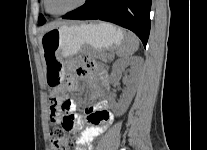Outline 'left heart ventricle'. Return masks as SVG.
<instances>
[{"label":"left heart ventricle","mask_w":207,"mask_h":150,"mask_svg":"<svg viewBox=\"0 0 207 150\" xmlns=\"http://www.w3.org/2000/svg\"><path fill=\"white\" fill-rule=\"evenodd\" d=\"M80 0H48L49 9L53 12H62L75 6Z\"/></svg>","instance_id":"left-heart-ventricle-1"}]
</instances>
